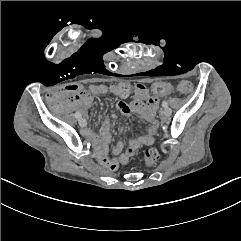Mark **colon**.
Instances as JSON below:
<instances>
[{
    "instance_id": "obj_1",
    "label": "colon",
    "mask_w": 241,
    "mask_h": 241,
    "mask_svg": "<svg viewBox=\"0 0 241 241\" xmlns=\"http://www.w3.org/2000/svg\"><path fill=\"white\" fill-rule=\"evenodd\" d=\"M128 80L127 79H117L110 85V92L114 93L116 97L122 98L128 90ZM194 89V85L190 82H179L177 85V90L181 93H190ZM151 91L154 94H163L166 91V84L164 82H156L152 84ZM144 157L148 162L145 166L147 169L153 167L155 162L160 159V153L153 147H146L144 152Z\"/></svg>"
}]
</instances>
